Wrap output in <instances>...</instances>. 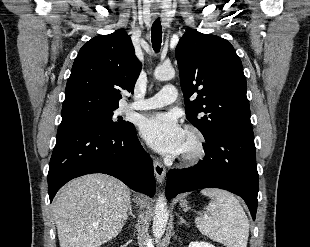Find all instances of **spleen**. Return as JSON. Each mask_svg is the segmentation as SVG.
Masks as SVG:
<instances>
[{"mask_svg": "<svg viewBox=\"0 0 310 247\" xmlns=\"http://www.w3.org/2000/svg\"><path fill=\"white\" fill-rule=\"evenodd\" d=\"M201 194L211 201L195 218L198 230L226 247H247L249 221L237 198L221 189H204Z\"/></svg>", "mask_w": 310, "mask_h": 247, "instance_id": "1", "label": "spleen"}]
</instances>
